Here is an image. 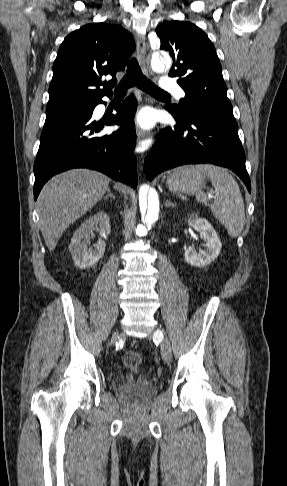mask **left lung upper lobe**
<instances>
[{"label":"left lung upper lobe","mask_w":287,"mask_h":486,"mask_svg":"<svg viewBox=\"0 0 287 486\" xmlns=\"http://www.w3.org/2000/svg\"><path fill=\"white\" fill-rule=\"evenodd\" d=\"M160 49L170 52L173 66L169 76L185 91L179 105L166 109L178 118L190 116L210 119L238 128L216 50L208 36L196 25L185 21H168L156 28Z\"/></svg>","instance_id":"1"}]
</instances>
